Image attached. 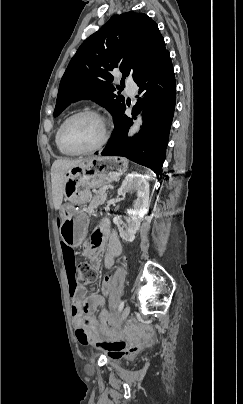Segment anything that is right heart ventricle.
I'll return each mask as SVG.
<instances>
[{"instance_id":"1","label":"right heart ventricle","mask_w":243,"mask_h":404,"mask_svg":"<svg viewBox=\"0 0 243 404\" xmlns=\"http://www.w3.org/2000/svg\"><path fill=\"white\" fill-rule=\"evenodd\" d=\"M59 126L56 129L55 134H54V142H55L56 148L58 149L59 153L64 155V156H77V155H79V153H77L75 151H72V150L66 148L64 145L61 144V142L59 140Z\"/></svg>"}]
</instances>
